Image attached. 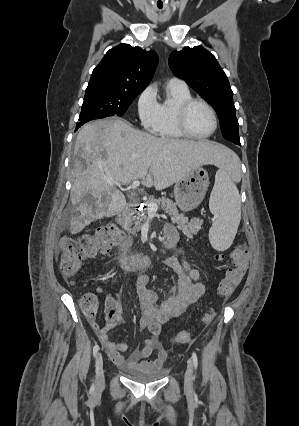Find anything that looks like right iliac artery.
<instances>
[{
    "mask_svg": "<svg viewBox=\"0 0 299 426\" xmlns=\"http://www.w3.org/2000/svg\"><path fill=\"white\" fill-rule=\"evenodd\" d=\"M98 350H99V345H98V344H96V345L93 347V356H94V357L96 356V354H97ZM91 389H94V385H92Z\"/></svg>",
    "mask_w": 299,
    "mask_h": 426,
    "instance_id": "1",
    "label": "right iliac artery"
}]
</instances>
